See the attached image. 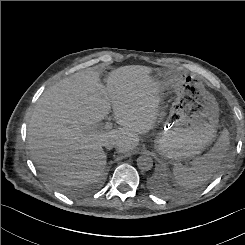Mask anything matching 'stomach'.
I'll return each mask as SVG.
<instances>
[{"label":"stomach","mask_w":245,"mask_h":245,"mask_svg":"<svg viewBox=\"0 0 245 245\" xmlns=\"http://www.w3.org/2000/svg\"><path fill=\"white\" fill-rule=\"evenodd\" d=\"M157 75L163 79L161 90L171 87L177 97L154 147L164 158L175 162L192 159L216 138L218 103L193 75H174L166 70H158Z\"/></svg>","instance_id":"stomach-1"}]
</instances>
